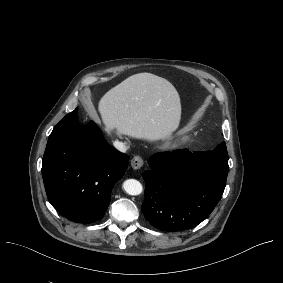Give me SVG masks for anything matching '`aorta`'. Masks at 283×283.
<instances>
[{
  "instance_id": "1",
  "label": "aorta",
  "mask_w": 283,
  "mask_h": 283,
  "mask_svg": "<svg viewBox=\"0 0 283 283\" xmlns=\"http://www.w3.org/2000/svg\"><path fill=\"white\" fill-rule=\"evenodd\" d=\"M123 188L129 195H139L143 190L142 184L135 179L125 180Z\"/></svg>"
}]
</instances>
